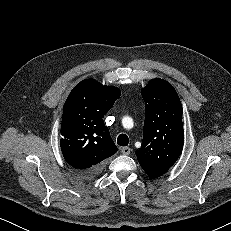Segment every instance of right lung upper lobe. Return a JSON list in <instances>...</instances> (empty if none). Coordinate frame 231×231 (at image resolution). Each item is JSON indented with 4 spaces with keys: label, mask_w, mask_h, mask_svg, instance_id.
<instances>
[{
    "label": "right lung upper lobe",
    "mask_w": 231,
    "mask_h": 231,
    "mask_svg": "<svg viewBox=\"0 0 231 231\" xmlns=\"http://www.w3.org/2000/svg\"><path fill=\"white\" fill-rule=\"evenodd\" d=\"M114 86L85 79L70 92L63 109L60 147L66 162L79 172L102 167L117 152L103 117L120 97Z\"/></svg>",
    "instance_id": "obj_1"
}]
</instances>
